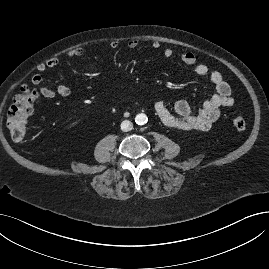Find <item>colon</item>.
I'll list each match as a JSON object with an SVG mask.
<instances>
[{
    "label": "colon",
    "instance_id": "5ec220e1",
    "mask_svg": "<svg viewBox=\"0 0 269 269\" xmlns=\"http://www.w3.org/2000/svg\"><path fill=\"white\" fill-rule=\"evenodd\" d=\"M38 98V92L26 85L15 96L6 121L8 132L13 140L20 141L25 137L27 120L33 113L34 105ZM233 125L239 132H243L246 129V121L240 115L234 117Z\"/></svg>",
    "mask_w": 269,
    "mask_h": 269
}]
</instances>
